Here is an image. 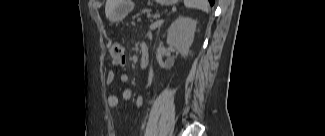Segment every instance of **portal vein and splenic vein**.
I'll use <instances>...</instances> for the list:
<instances>
[{"instance_id": "18ae733b", "label": "portal vein and splenic vein", "mask_w": 325, "mask_h": 136, "mask_svg": "<svg viewBox=\"0 0 325 136\" xmlns=\"http://www.w3.org/2000/svg\"><path fill=\"white\" fill-rule=\"evenodd\" d=\"M163 22V20H157L155 23H153L150 28H156L158 27L161 23Z\"/></svg>"}]
</instances>
